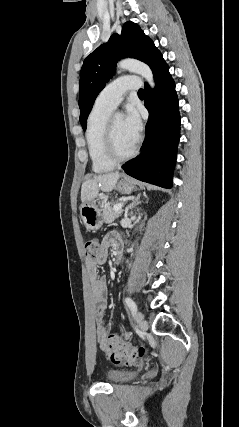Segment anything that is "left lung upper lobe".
<instances>
[{"label":"left lung upper lobe","mask_w":239,"mask_h":427,"mask_svg":"<svg viewBox=\"0 0 239 427\" xmlns=\"http://www.w3.org/2000/svg\"><path fill=\"white\" fill-rule=\"evenodd\" d=\"M122 56L145 62L153 73L164 63L161 53L140 27L131 21L126 22L120 36L113 34L108 43L100 45L83 62L79 87L83 130H86L87 118L97 95L115 73L116 62Z\"/></svg>","instance_id":"1"}]
</instances>
